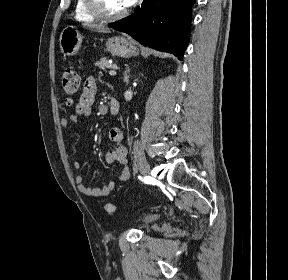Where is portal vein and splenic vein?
<instances>
[{
    "instance_id": "portal-vein-and-splenic-vein-1",
    "label": "portal vein and splenic vein",
    "mask_w": 288,
    "mask_h": 280,
    "mask_svg": "<svg viewBox=\"0 0 288 280\" xmlns=\"http://www.w3.org/2000/svg\"><path fill=\"white\" fill-rule=\"evenodd\" d=\"M116 69L117 67H112V70L109 71V74L112 76L116 75V71H115Z\"/></svg>"
}]
</instances>
